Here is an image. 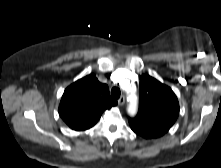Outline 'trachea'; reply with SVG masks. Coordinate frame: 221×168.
Returning <instances> with one entry per match:
<instances>
[{
  "label": "trachea",
  "instance_id": "1",
  "mask_svg": "<svg viewBox=\"0 0 221 168\" xmlns=\"http://www.w3.org/2000/svg\"><path fill=\"white\" fill-rule=\"evenodd\" d=\"M120 89L119 88H117V87H113L112 89H111V95H112V97L113 98H116V99H118L119 97H120Z\"/></svg>",
  "mask_w": 221,
  "mask_h": 168
}]
</instances>
